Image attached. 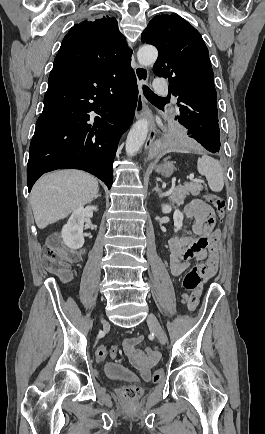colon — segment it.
<instances>
[{
	"instance_id": "5ec220e1",
	"label": "colon",
	"mask_w": 265,
	"mask_h": 434,
	"mask_svg": "<svg viewBox=\"0 0 265 434\" xmlns=\"http://www.w3.org/2000/svg\"><path fill=\"white\" fill-rule=\"evenodd\" d=\"M210 201L213 208L217 211L218 217L222 219L225 214L224 198L218 194H212L210 196ZM60 251L61 247L56 244V239H53L44 248L43 267L46 272L59 276L63 283H68L72 276L69 266L73 263L75 258L68 254H61ZM203 279L204 278L200 277V270L197 269V264L191 266V268L183 275V285L188 292L185 294L184 300L189 308L193 288L194 286H200ZM109 353H114V350H109L104 345L100 346L96 352L97 361L100 363L104 362ZM162 374V370H156L153 375L154 380L159 381ZM123 391L127 395L128 402H133L134 397L140 393V389L134 385L125 386Z\"/></svg>"
}]
</instances>
